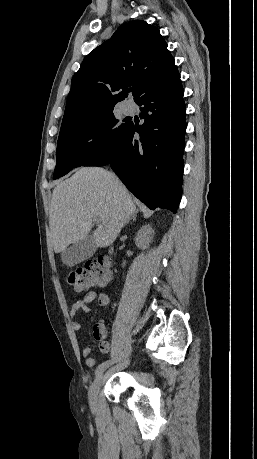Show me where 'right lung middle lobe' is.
Segmentation results:
<instances>
[{
  "label": "right lung middle lobe",
  "instance_id": "1",
  "mask_svg": "<svg viewBox=\"0 0 257 459\" xmlns=\"http://www.w3.org/2000/svg\"><path fill=\"white\" fill-rule=\"evenodd\" d=\"M127 125L120 123L111 109L66 128L58 138L53 179L107 152Z\"/></svg>",
  "mask_w": 257,
  "mask_h": 459
}]
</instances>
